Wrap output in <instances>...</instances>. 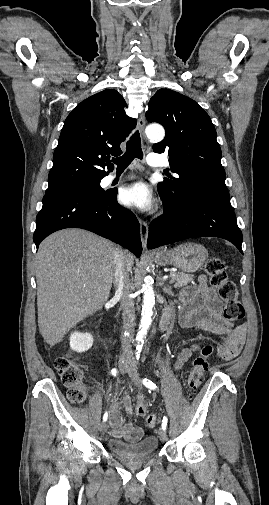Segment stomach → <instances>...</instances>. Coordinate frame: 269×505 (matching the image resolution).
Segmentation results:
<instances>
[{
  "instance_id": "obj_1",
  "label": "stomach",
  "mask_w": 269,
  "mask_h": 505,
  "mask_svg": "<svg viewBox=\"0 0 269 505\" xmlns=\"http://www.w3.org/2000/svg\"><path fill=\"white\" fill-rule=\"evenodd\" d=\"M208 258V250L197 243H184L173 249H159L153 256L161 266L173 265L182 272H196Z\"/></svg>"
}]
</instances>
